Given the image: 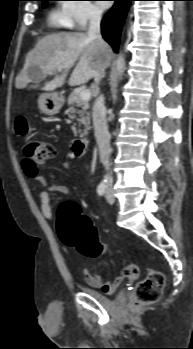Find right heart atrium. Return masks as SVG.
Returning <instances> with one entry per match:
<instances>
[{
	"label": "right heart atrium",
	"mask_w": 193,
	"mask_h": 349,
	"mask_svg": "<svg viewBox=\"0 0 193 349\" xmlns=\"http://www.w3.org/2000/svg\"><path fill=\"white\" fill-rule=\"evenodd\" d=\"M62 9L70 25L76 29H84L102 17V9L91 0H65Z\"/></svg>",
	"instance_id": "right-heart-atrium-1"
}]
</instances>
